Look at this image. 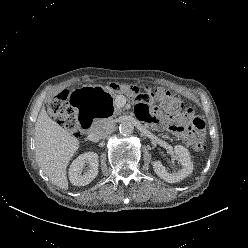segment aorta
<instances>
[{"instance_id":"1","label":"aorta","mask_w":248,"mask_h":248,"mask_svg":"<svg viewBox=\"0 0 248 248\" xmlns=\"http://www.w3.org/2000/svg\"><path fill=\"white\" fill-rule=\"evenodd\" d=\"M119 131L122 135H130L134 131V125L131 121H123L119 126Z\"/></svg>"}]
</instances>
